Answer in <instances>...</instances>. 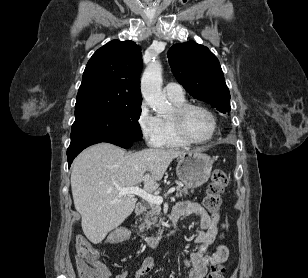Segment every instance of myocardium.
I'll return each mask as SVG.
<instances>
[{
    "instance_id": "f54148a6",
    "label": "myocardium",
    "mask_w": 308,
    "mask_h": 278,
    "mask_svg": "<svg viewBox=\"0 0 308 278\" xmlns=\"http://www.w3.org/2000/svg\"><path fill=\"white\" fill-rule=\"evenodd\" d=\"M191 109H201L210 116L212 120V130L208 137L204 139H194L187 133L184 127V117ZM169 119L176 134L188 144L207 143L213 139L218 129V123L214 112L205 105L199 103H184L183 105L176 107Z\"/></svg>"
}]
</instances>
